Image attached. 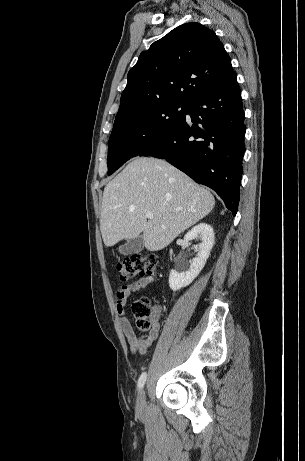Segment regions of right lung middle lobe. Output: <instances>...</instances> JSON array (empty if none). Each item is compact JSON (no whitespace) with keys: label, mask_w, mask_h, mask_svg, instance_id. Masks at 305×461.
<instances>
[{"label":"right lung middle lobe","mask_w":305,"mask_h":461,"mask_svg":"<svg viewBox=\"0 0 305 461\" xmlns=\"http://www.w3.org/2000/svg\"><path fill=\"white\" fill-rule=\"evenodd\" d=\"M189 104L166 103L116 121L108 143V175L165 140L184 121Z\"/></svg>","instance_id":"dd1d6c3e"}]
</instances>
